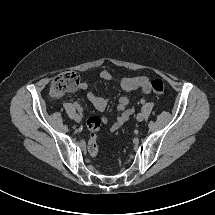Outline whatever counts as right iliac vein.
<instances>
[{"label": "right iliac vein", "mask_w": 215, "mask_h": 215, "mask_svg": "<svg viewBox=\"0 0 215 215\" xmlns=\"http://www.w3.org/2000/svg\"><path fill=\"white\" fill-rule=\"evenodd\" d=\"M74 119L77 123H80L82 120V117H81V115L77 114V115H75Z\"/></svg>", "instance_id": "63e3f726"}]
</instances>
